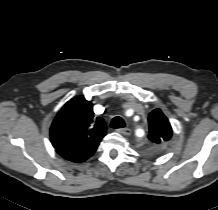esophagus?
<instances>
[{
	"instance_id": "obj_1",
	"label": "esophagus",
	"mask_w": 218,
	"mask_h": 210,
	"mask_svg": "<svg viewBox=\"0 0 218 210\" xmlns=\"http://www.w3.org/2000/svg\"><path fill=\"white\" fill-rule=\"evenodd\" d=\"M117 132L123 135H130L131 130L129 128H120L117 129Z\"/></svg>"
}]
</instances>
